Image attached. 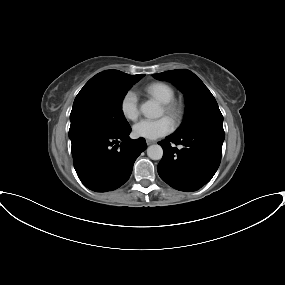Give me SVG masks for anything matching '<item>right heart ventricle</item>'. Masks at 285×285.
I'll use <instances>...</instances> for the list:
<instances>
[{"instance_id":"1","label":"right heart ventricle","mask_w":285,"mask_h":285,"mask_svg":"<svg viewBox=\"0 0 285 285\" xmlns=\"http://www.w3.org/2000/svg\"><path fill=\"white\" fill-rule=\"evenodd\" d=\"M144 91L163 104L173 100L175 97L174 88L170 84L162 81H156L146 85Z\"/></svg>"}]
</instances>
